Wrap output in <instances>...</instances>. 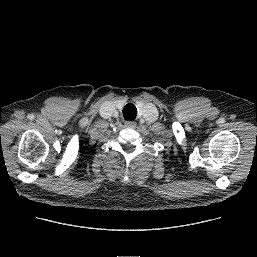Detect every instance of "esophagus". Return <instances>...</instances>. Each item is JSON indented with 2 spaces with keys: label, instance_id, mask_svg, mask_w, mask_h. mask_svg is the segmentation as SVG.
Masks as SVG:
<instances>
[{
  "label": "esophagus",
  "instance_id": "1",
  "mask_svg": "<svg viewBox=\"0 0 257 257\" xmlns=\"http://www.w3.org/2000/svg\"><path fill=\"white\" fill-rule=\"evenodd\" d=\"M125 125H126L127 127H135L136 123H135L134 121H127V122L125 123Z\"/></svg>",
  "mask_w": 257,
  "mask_h": 257
}]
</instances>
